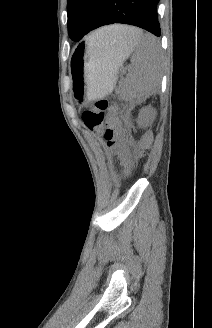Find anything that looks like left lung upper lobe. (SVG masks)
Returning <instances> with one entry per match:
<instances>
[{"instance_id":"1","label":"left lung upper lobe","mask_w":212,"mask_h":328,"mask_svg":"<svg viewBox=\"0 0 212 328\" xmlns=\"http://www.w3.org/2000/svg\"><path fill=\"white\" fill-rule=\"evenodd\" d=\"M103 0H67L68 34L73 41H80L93 26Z\"/></svg>"}]
</instances>
